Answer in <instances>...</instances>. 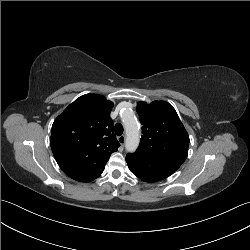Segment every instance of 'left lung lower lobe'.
<instances>
[{
  "label": "left lung lower lobe",
  "instance_id": "obj_1",
  "mask_svg": "<svg viewBox=\"0 0 250 250\" xmlns=\"http://www.w3.org/2000/svg\"><path fill=\"white\" fill-rule=\"evenodd\" d=\"M126 161L130 171L145 182L160 181L174 173L154 165L148 157L136 153L127 155Z\"/></svg>",
  "mask_w": 250,
  "mask_h": 250
}]
</instances>
